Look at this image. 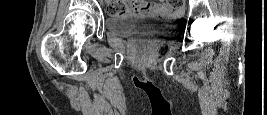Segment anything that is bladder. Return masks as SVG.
<instances>
[{
    "label": "bladder",
    "mask_w": 267,
    "mask_h": 115,
    "mask_svg": "<svg viewBox=\"0 0 267 115\" xmlns=\"http://www.w3.org/2000/svg\"><path fill=\"white\" fill-rule=\"evenodd\" d=\"M161 18L156 13H125L122 15L108 16L106 28L118 37H133L139 35H155L159 33L153 24Z\"/></svg>",
    "instance_id": "bladder-1"
}]
</instances>
